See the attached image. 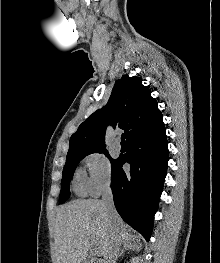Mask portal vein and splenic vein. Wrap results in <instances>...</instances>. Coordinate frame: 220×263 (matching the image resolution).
<instances>
[{
    "mask_svg": "<svg viewBox=\"0 0 220 263\" xmlns=\"http://www.w3.org/2000/svg\"><path fill=\"white\" fill-rule=\"evenodd\" d=\"M92 251H93L94 253H98V248H97V245H96L95 243H93Z\"/></svg>",
    "mask_w": 220,
    "mask_h": 263,
    "instance_id": "18ae733b",
    "label": "portal vein and splenic vein"
}]
</instances>
